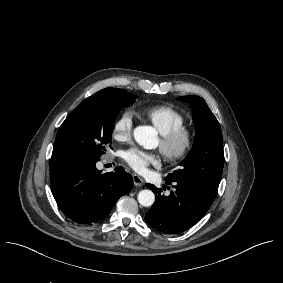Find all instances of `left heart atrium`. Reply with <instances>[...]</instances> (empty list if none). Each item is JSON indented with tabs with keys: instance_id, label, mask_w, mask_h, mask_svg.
I'll use <instances>...</instances> for the list:
<instances>
[{
	"instance_id": "obj_1",
	"label": "left heart atrium",
	"mask_w": 283,
	"mask_h": 283,
	"mask_svg": "<svg viewBox=\"0 0 283 283\" xmlns=\"http://www.w3.org/2000/svg\"><path fill=\"white\" fill-rule=\"evenodd\" d=\"M124 160L136 171H143L149 164L157 162L155 154L137 148H130L123 153Z\"/></svg>"
}]
</instances>
